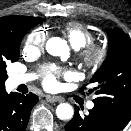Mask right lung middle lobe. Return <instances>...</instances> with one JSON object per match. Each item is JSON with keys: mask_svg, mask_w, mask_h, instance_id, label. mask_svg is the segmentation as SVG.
<instances>
[{"mask_svg": "<svg viewBox=\"0 0 131 131\" xmlns=\"http://www.w3.org/2000/svg\"><path fill=\"white\" fill-rule=\"evenodd\" d=\"M43 21V18L35 19L27 17L11 29L8 46L0 49V81L4 82L8 77L6 63L8 61L15 62L19 59V47L26 32Z\"/></svg>", "mask_w": 131, "mask_h": 131, "instance_id": "obj_1", "label": "right lung middle lobe"}]
</instances>
